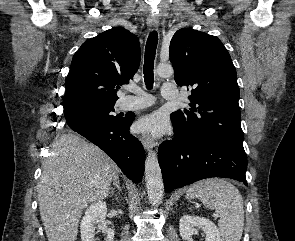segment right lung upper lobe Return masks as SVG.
<instances>
[{"label": "right lung upper lobe", "instance_id": "1", "mask_svg": "<svg viewBox=\"0 0 295 241\" xmlns=\"http://www.w3.org/2000/svg\"><path fill=\"white\" fill-rule=\"evenodd\" d=\"M140 64L138 38L116 27L84 42L74 54L65 81L64 113L115 104L120 84L129 83Z\"/></svg>", "mask_w": 295, "mask_h": 241}]
</instances>
